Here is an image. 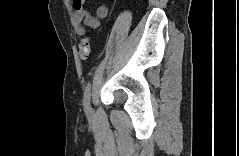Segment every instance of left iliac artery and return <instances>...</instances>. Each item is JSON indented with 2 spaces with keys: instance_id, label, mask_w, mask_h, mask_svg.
Here are the masks:
<instances>
[{
  "instance_id": "obj_1",
  "label": "left iliac artery",
  "mask_w": 239,
  "mask_h": 156,
  "mask_svg": "<svg viewBox=\"0 0 239 156\" xmlns=\"http://www.w3.org/2000/svg\"><path fill=\"white\" fill-rule=\"evenodd\" d=\"M90 95H91V83H88L85 87L84 91V104L89 105L90 104Z\"/></svg>"
}]
</instances>
